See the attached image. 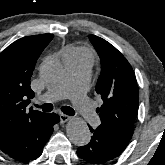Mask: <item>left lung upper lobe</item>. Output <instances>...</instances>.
Instances as JSON below:
<instances>
[{"mask_svg":"<svg viewBox=\"0 0 165 165\" xmlns=\"http://www.w3.org/2000/svg\"><path fill=\"white\" fill-rule=\"evenodd\" d=\"M89 39L101 60V73L96 84V93L104 102L96 110L101 125L131 138L139 95L134 71L109 42L94 35H90Z\"/></svg>","mask_w":165,"mask_h":165,"instance_id":"obj_1","label":"left lung upper lobe"}]
</instances>
